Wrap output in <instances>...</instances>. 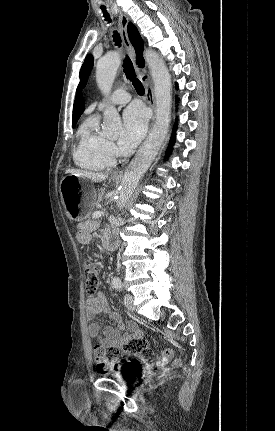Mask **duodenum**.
Segmentation results:
<instances>
[{
  "label": "duodenum",
  "instance_id": "obj_1",
  "mask_svg": "<svg viewBox=\"0 0 275 431\" xmlns=\"http://www.w3.org/2000/svg\"><path fill=\"white\" fill-rule=\"evenodd\" d=\"M102 246L106 251H114L118 244L111 234L106 233L102 239Z\"/></svg>",
  "mask_w": 275,
  "mask_h": 431
}]
</instances>
